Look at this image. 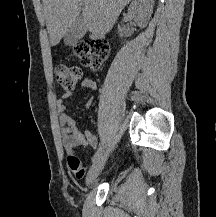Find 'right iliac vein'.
Returning a JSON list of instances; mask_svg holds the SVG:
<instances>
[{
    "instance_id": "right-iliac-vein-1",
    "label": "right iliac vein",
    "mask_w": 216,
    "mask_h": 217,
    "mask_svg": "<svg viewBox=\"0 0 216 217\" xmlns=\"http://www.w3.org/2000/svg\"><path fill=\"white\" fill-rule=\"evenodd\" d=\"M107 159V154L101 155L91 166L87 178H86V184L90 185L94 182V180L98 177L100 172L102 171L105 162Z\"/></svg>"
}]
</instances>
